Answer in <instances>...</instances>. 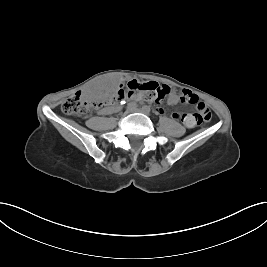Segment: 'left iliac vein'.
Wrapping results in <instances>:
<instances>
[{
  "mask_svg": "<svg viewBox=\"0 0 267 267\" xmlns=\"http://www.w3.org/2000/svg\"><path fill=\"white\" fill-rule=\"evenodd\" d=\"M137 111L140 112V113H143V114H145V115H149V111H147V110L144 109V108L138 109Z\"/></svg>",
  "mask_w": 267,
  "mask_h": 267,
  "instance_id": "left-iliac-vein-1",
  "label": "left iliac vein"
}]
</instances>
